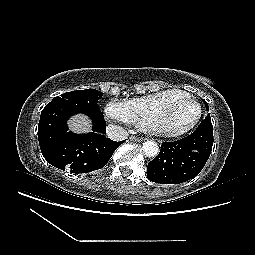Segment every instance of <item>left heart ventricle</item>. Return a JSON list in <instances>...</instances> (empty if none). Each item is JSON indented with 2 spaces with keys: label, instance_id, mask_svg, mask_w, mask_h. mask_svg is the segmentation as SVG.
<instances>
[{
  "label": "left heart ventricle",
  "instance_id": "left-heart-ventricle-1",
  "mask_svg": "<svg viewBox=\"0 0 255 255\" xmlns=\"http://www.w3.org/2000/svg\"><path fill=\"white\" fill-rule=\"evenodd\" d=\"M196 114V107L188 102L178 101L162 116V125L168 129H178L188 124Z\"/></svg>",
  "mask_w": 255,
  "mask_h": 255
}]
</instances>
